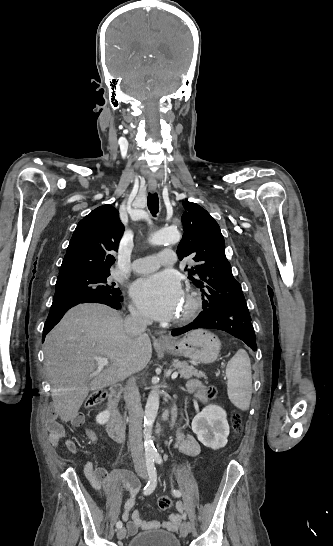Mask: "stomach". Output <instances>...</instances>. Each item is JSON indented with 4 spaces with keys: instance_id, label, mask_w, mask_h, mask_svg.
Instances as JSON below:
<instances>
[{
    "instance_id": "0dacf381",
    "label": "stomach",
    "mask_w": 333,
    "mask_h": 546,
    "mask_svg": "<svg viewBox=\"0 0 333 546\" xmlns=\"http://www.w3.org/2000/svg\"><path fill=\"white\" fill-rule=\"evenodd\" d=\"M221 348V342L213 333L198 329L191 331L181 339L162 345V349L174 356H184L198 363H213Z\"/></svg>"
}]
</instances>
